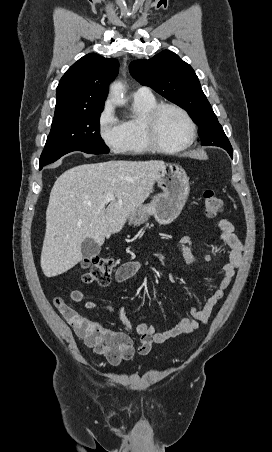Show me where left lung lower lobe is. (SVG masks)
<instances>
[{
	"mask_svg": "<svg viewBox=\"0 0 272 452\" xmlns=\"http://www.w3.org/2000/svg\"><path fill=\"white\" fill-rule=\"evenodd\" d=\"M224 148L229 153V155L233 158V150H232L231 145L230 144L229 145H225Z\"/></svg>",
	"mask_w": 272,
	"mask_h": 452,
	"instance_id": "0a47b994",
	"label": "left lung lower lobe"
}]
</instances>
